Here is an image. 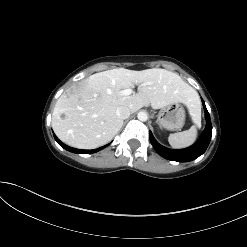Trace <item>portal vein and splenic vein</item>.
<instances>
[{
  "instance_id": "obj_1",
  "label": "portal vein and splenic vein",
  "mask_w": 247,
  "mask_h": 247,
  "mask_svg": "<svg viewBox=\"0 0 247 247\" xmlns=\"http://www.w3.org/2000/svg\"><path fill=\"white\" fill-rule=\"evenodd\" d=\"M132 93H133V90L131 88L124 89V90L120 91V94L124 95V96L131 95Z\"/></svg>"
}]
</instances>
